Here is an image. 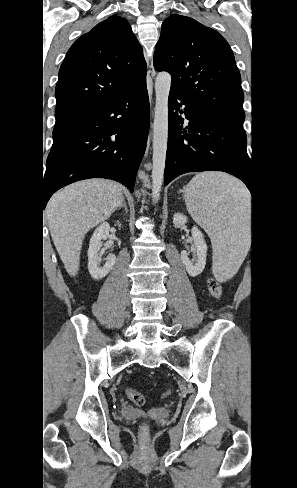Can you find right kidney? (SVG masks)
Wrapping results in <instances>:
<instances>
[{
    "mask_svg": "<svg viewBox=\"0 0 297 488\" xmlns=\"http://www.w3.org/2000/svg\"><path fill=\"white\" fill-rule=\"evenodd\" d=\"M117 225L121 227L120 222H117ZM109 231V223L103 222L98 228H96L90 240L88 249V270L90 275L96 280L104 278L110 272V270H112L116 263L115 254L111 253L107 256L105 265L103 267L99 266L98 252L102 246V240H106L109 236Z\"/></svg>",
    "mask_w": 297,
    "mask_h": 488,
    "instance_id": "1",
    "label": "right kidney"
}]
</instances>
